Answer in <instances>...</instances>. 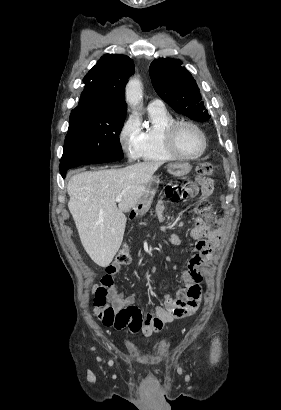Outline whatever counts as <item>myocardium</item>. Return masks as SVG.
Instances as JSON below:
<instances>
[{"instance_id":"myocardium-1","label":"myocardium","mask_w":281,"mask_h":410,"mask_svg":"<svg viewBox=\"0 0 281 410\" xmlns=\"http://www.w3.org/2000/svg\"><path fill=\"white\" fill-rule=\"evenodd\" d=\"M182 125H189L195 128L200 133L202 140H203V146H202V149L197 154H193V155L184 154L177 147L176 142H175V133L177 129ZM164 141H165V144L168 150L173 155H175L177 158L183 159V160H193V159H197L201 157L205 153L207 146H208V140H207V136L204 130L196 122L192 120H188V119H179V120H174L173 122H171L164 130Z\"/></svg>"}]
</instances>
